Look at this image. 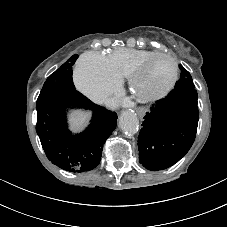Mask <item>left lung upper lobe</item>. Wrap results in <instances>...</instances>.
<instances>
[{"label": "left lung upper lobe", "instance_id": "1", "mask_svg": "<svg viewBox=\"0 0 227 227\" xmlns=\"http://www.w3.org/2000/svg\"><path fill=\"white\" fill-rule=\"evenodd\" d=\"M179 68L181 70V74L179 81L175 84V88L195 87L190 73L182 65H179Z\"/></svg>", "mask_w": 227, "mask_h": 227}]
</instances>
